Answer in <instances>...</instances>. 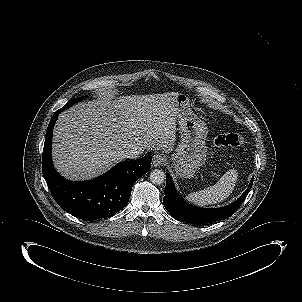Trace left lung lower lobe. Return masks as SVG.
Returning a JSON list of instances; mask_svg holds the SVG:
<instances>
[{
	"label": "left lung lower lobe",
	"instance_id": "0a47b994",
	"mask_svg": "<svg viewBox=\"0 0 302 302\" xmlns=\"http://www.w3.org/2000/svg\"><path fill=\"white\" fill-rule=\"evenodd\" d=\"M253 179L243 193L235 202L218 209H205L192 206L181 199L177 194L170 175H166L165 196L163 203L173 218L186 223H210L226 219L233 215L241 206L245 197L252 187Z\"/></svg>",
	"mask_w": 302,
	"mask_h": 302
}]
</instances>
